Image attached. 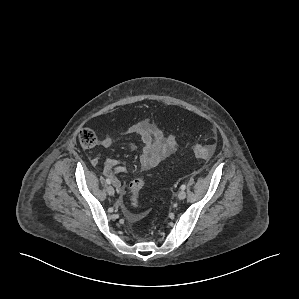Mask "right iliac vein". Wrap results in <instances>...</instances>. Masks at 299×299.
Here are the masks:
<instances>
[{
	"mask_svg": "<svg viewBox=\"0 0 299 299\" xmlns=\"http://www.w3.org/2000/svg\"><path fill=\"white\" fill-rule=\"evenodd\" d=\"M107 193H108L109 195L113 196L114 193H115L114 188H113L112 186H108V187H107Z\"/></svg>",
	"mask_w": 299,
	"mask_h": 299,
	"instance_id": "1",
	"label": "right iliac vein"
}]
</instances>
